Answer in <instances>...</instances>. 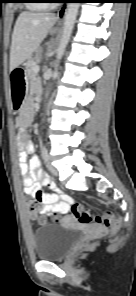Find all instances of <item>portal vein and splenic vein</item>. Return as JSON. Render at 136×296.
I'll return each instance as SVG.
<instances>
[{
	"label": "portal vein and splenic vein",
	"mask_w": 136,
	"mask_h": 296,
	"mask_svg": "<svg viewBox=\"0 0 136 296\" xmlns=\"http://www.w3.org/2000/svg\"><path fill=\"white\" fill-rule=\"evenodd\" d=\"M34 72H35V73H38V72H39V66H38V65H35V66H34Z\"/></svg>",
	"instance_id": "1"
}]
</instances>
